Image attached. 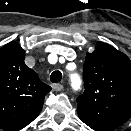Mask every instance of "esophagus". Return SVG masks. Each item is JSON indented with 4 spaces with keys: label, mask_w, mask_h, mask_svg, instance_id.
<instances>
[{
    "label": "esophagus",
    "mask_w": 131,
    "mask_h": 131,
    "mask_svg": "<svg viewBox=\"0 0 131 131\" xmlns=\"http://www.w3.org/2000/svg\"><path fill=\"white\" fill-rule=\"evenodd\" d=\"M52 89H53L54 91H61V90L63 89V85H62V84H59V83L53 84V85H52Z\"/></svg>",
    "instance_id": "1"
}]
</instances>
